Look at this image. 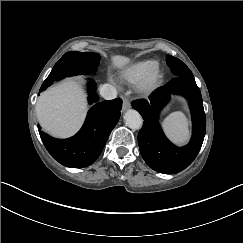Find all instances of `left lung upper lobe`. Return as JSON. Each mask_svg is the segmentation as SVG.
I'll return each mask as SVG.
<instances>
[{
	"label": "left lung upper lobe",
	"instance_id": "obj_1",
	"mask_svg": "<svg viewBox=\"0 0 243 243\" xmlns=\"http://www.w3.org/2000/svg\"><path fill=\"white\" fill-rule=\"evenodd\" d=\"M166 63L169 66L171 72L175 75V77L182 76L194 78L190 69H188L185 63H183L178 58L171 55H166Z\"/></svg>",
	"mask_w": 243,
	"mask_h": 243
}]
</instances>
